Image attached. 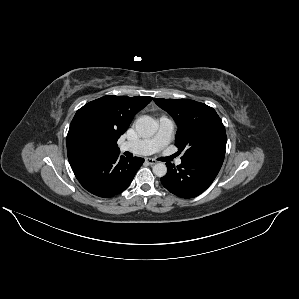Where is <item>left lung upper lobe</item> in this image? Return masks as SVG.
<instances>
[{
  "mask_svg": "<svg viewBox=\"0 0 299 299\" xmlns=\"http://www.w3.org/2000/svg\"><path fill=\"white\" fill-rule=\"evenodd\" d=\"M175 120V145L182 158L201 154L225 155L226 133L222 120L208 105L189 99L154 98Z\"/></svg>",
  "mask_w": 299,
  "mask_h": 299,
  "instance_id": "obj_1",
  "label": "left lung upper lobe"
}]
</instances>
